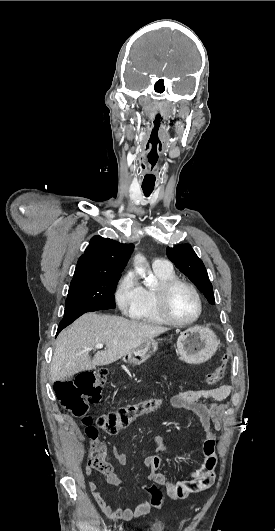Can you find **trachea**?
Returning a JSON list of instances; mask_svg holds the SVG:
<instances>
[{
  "label": "trachea",
  "mask_w": 275,
  "mask_h": 531,
  "mask_svg": "<svg viewBox=\"0 0 275 531\" xmlns=\"http://www.w3.org/2000/svg\"><path fill=\"white\" fill-rule=\"evenodd\" d=\"M142 189H143L144 194H145L146 196H149V195L152 193L154 187H146V186H142Z\"/></svg>",
  "instance_id": "obj_1"
}]
</instances>
